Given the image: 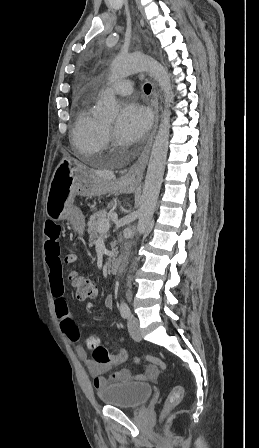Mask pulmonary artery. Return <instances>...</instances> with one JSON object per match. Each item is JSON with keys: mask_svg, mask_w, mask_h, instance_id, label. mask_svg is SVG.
I'll return each mask as SVG.
<instances>
[{"mask_svg": "<svg viewBox=\"0 0 259 448\" xmlns=\"http://www.w3.org/2000/svg\"><path fill=\"white\" fill-rule=\"evenodd\" d=\"M134 55L137 56L138 54ZM118 70H119V76L110 86V91L114 94H122V95L130 94L132 90L121 87L119 85V82L124 80L127 76L138 72L139 69L135 65L124 62L118 65Z\"/></svg>", "mask_w": 259, "mask_h": 448, "instance_id": "1", "label": "pulmonary artery"}]
</instances>
